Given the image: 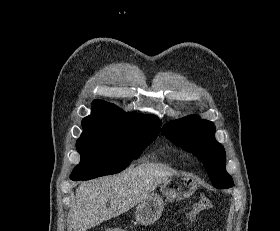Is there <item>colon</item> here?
<instances>
[{"mask_svg":"<svg viewBox=\"0 0 280 231\" xmlns=\"http://www.w3.org/2000/svg\"><path fill=\"white\" fill-rule=\"evenodd\" d=\"M197 205L199 206V208L209 209V208H211V206H212V202H211V200H210L207 196L202 195V196H200V198H199V200H198V202H197ZM190 212H191V213H195V212H196V209H195V208H191V209H190ZM187 219H188V220H191V219H192V216H191V215H188V216H187ZM180 224H181V225H184V224H185V221H184V220H181V221H180Z\"/></svg>","mask_w":280,"mask_h":231,"instance_id":"5ec220e1","label":"colon"}]
</instances>
